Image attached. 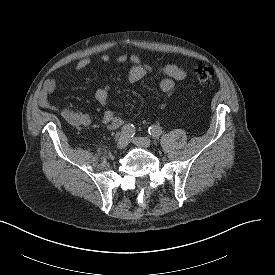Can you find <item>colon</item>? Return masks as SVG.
Instances as JSON below:
<instances>
[{
    "label": "colon",
    "instance_id": "obj_1",
    "mask_svg": "<svg viewBox=\"0 0 275 275\" xmlns=\"http://www.w3.org/2000/svg\"><path fill=\"white\" fill-rule=\"evenodd\" d=\"M196 81L205 87H211L214 83V70L210 67L202 66L194 70Z\"/></svg>",
    "mask_w": 275,
    "mask_h": 275
}]
</instances>
